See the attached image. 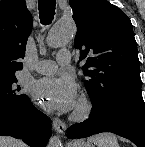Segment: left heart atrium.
Returning <instances> with one entry per match:
<instances>
[{"label": "left heart atrium", "mask_w": 145, "mask_h": 147, "mask_svg": "<svg viewBox=\"0 0 145 147\" xmlns=\"http://www.w3.org/2000/svg\"><path fill=\"white\" fill-rule=\"evenodd\" d=\"M34 96L52 110L67 112L77 101V87L71 76L46 77L39 80L33 89Z\"/></svg>", "instance_id": "left-heart-atrium-1"}]
</instances>
